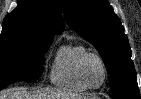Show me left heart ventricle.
Returning <instances> with one entry per match:
<instances>
[{
	"label": "left heart ventricle",
	"mask_w": 141,
	"mask_h": 99,
	"mask_svg": "<svg viewBox=\"0 0 141 99\" xmlns=\"http://www.w3.org/2000/svg\"><path fill=\"white\" fill-rule=\"evenodd\" d=\"M85 76L92 85H99L103 80V69L98 60L91 58L85 64Z\"/></svg>",
	"instance_id": "1"
}]
</instances>
